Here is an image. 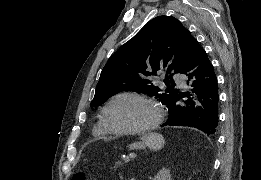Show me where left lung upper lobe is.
Listing matches in <instances>:
<instances>
[{
  "label": "left lung upper lobe",
  "mask_w": 261,
  "mask_h": 180,
  "mask_svg": "<svg viewBox=\"0 0 261 180\" xmlns=\"http://www.w3.org/2000/svg\"><path fill=\"white\" fill-rule=\"evenodd\" d=\"M197 44L176 18L158 16L152 19L110 57L101 72L90 106H100L119 91L151 94L169 105L177 94L171 73H181ZM163 68L170 74L164 79L165 92L150 81V76Z\"/></svg>",
  "instance_id": "1"
}]
</instances>
